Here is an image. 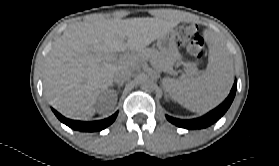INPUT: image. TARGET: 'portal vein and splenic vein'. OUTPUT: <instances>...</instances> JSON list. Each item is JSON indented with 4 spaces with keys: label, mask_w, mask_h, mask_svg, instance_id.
I'll use <instances>...</instances> for the list:
<instances>
[{
    "label": "portal vein and splenic vein",
    "mask_w": 279,
    "mask_h": 166,
    "mask_svg": "<svg viewBox=\"0 0 279 166\" xmlns=\"http://www.w3.org/2000/svg\"><path fill=\"white\" fill-rule=\"evenodd\" d=\"M105 60L106 61H108V62H124V61H132L133 60V58L132 57H130V56H122V57H115V56H113V55H107L106 57H105ZM187 68H189V71L190 72H194V69L192 68V67H187Z\"/></svg>",
    "instance_id": "18ae733b"
}]
</instances>
